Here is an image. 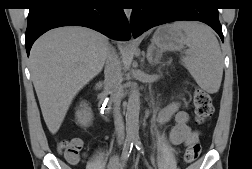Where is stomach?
Returning a JSON list of instances; mask_svg holds the SVG:
<instances>
[{
    "label": "stomach",
    "mask_w": 252,
    "mask_h": 169,
    "mask_svg": "<svg viewBox=\"0 0 252 169\" xmlns=\"http://www.w3.org/2000/svg\"><path fill=\"white\" fill-rule=\"evenodd\" d=\"M186 36L181 29L168 24L159 27L153 35L152 41L161 50H181L184 47Z\"/></svg>",
    "instance_id": "stomach-1"
}]
</instances>
